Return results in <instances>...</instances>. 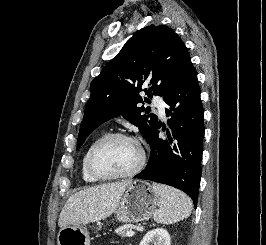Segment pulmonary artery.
Instances as JSON below:
<instances>
[{"label":"pulmonary artery","instance_id":"pulmonary-artery-1","mask_svg":"<svg viewBox=\"0 0 266 245\" xmlns=\"http://www.w3.org/2000/svg\"><path fill=\"white\" fill-rule=\"evenodd\" d=\"M154 105L155 107L158 109L159 114L162 117H165V108H166V104L164 103V101L161 98L155 99L154 100Z\"/></svg>","mask_w":266,"mask_h":245}]
</instances>
